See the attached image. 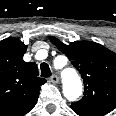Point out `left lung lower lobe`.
Segmentation results:
<instances>
[{"mask_svg": "<svg viewBox=\"0 0 116 116\" xmlns=\"http://www.w3.org/2000/svg\"><path fill=\"white\" fill-rule=\"evenodd\" d=\"M72 110L77 113L79 116H103L106 115L108 112L95 110V109H79L72 107Z\"/></svg>", "mask_w": 116, "mask_h": 116, "instance_id": "0a47b994", "label": "left lung lower lobe"}]
</instances>
